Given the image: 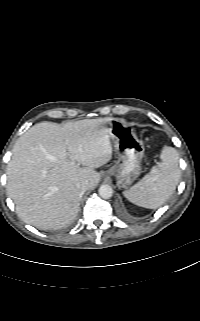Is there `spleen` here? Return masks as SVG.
I'll list each match as a JSON object with an SVG mask.
<instances>
[{"label":"spleen","mask_w":200,"mask_h":321,"mask_svg":"<svg viewBox=\"0 0 200 321\" xmlns=\"http://www.w3.org/2000/svg\"><path fill=\"white\" fill-rule=\"evenodd\" d=\"M180 177L178 152L173 147L164 145L160 153V162L123 194L135 205L156 209L174 193Z\"/></svg>","instance_id":"obj_1"}]
</instances>
